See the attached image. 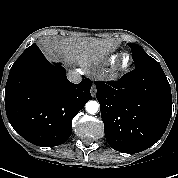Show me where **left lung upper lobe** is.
I'll return each instance as SVG.
<instances>
[{
  "instance_id": "1",
  "label": "left lung upper lobe",
  "mask_w": 178,
  "mask_h": 178,
  "mask_svg": "<svg viewBox=\"0 0 178 178\" xmlns=\"http://www.w3.org/2000/svg\"><path fill=\"white\" fill-rule=\"evenodd\" d=\"M128 45L132 50V58L135 63V68L145 64L157 62L155 59L149 56L141 46L134 43H128Z\"/></svg>"
}]
</instances>
